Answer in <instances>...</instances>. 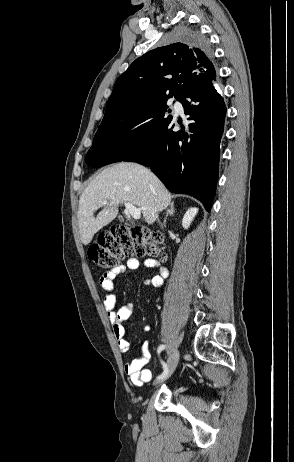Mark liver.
Wrapping results in <instances>:
<instances>
[{
    "label": "liver",
    "instance_id": "1",
    "mask_svg": "<svg viewBox=\"0 0 294 462\" xmlns=\"http://www.w3.org/2000/svg\"><path fill=\"white\" fill-rule=\"evenodd\" d=\"M171 194L147 168L121 162L104 169L87 186L79 199L78 224L81 241L88 245L94 234L118 214L119 205L137 206L147 224H153L158 212L171 202ZM106 206L94 217V212Z\"/></svg>",
    "mask_w": 294,
    "mask_h": 462
}]
</instances>
